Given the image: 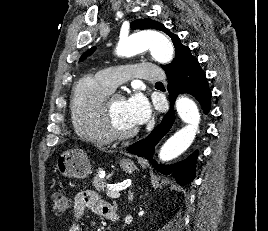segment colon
Instances as JSON below:
<instances>
[{
	"instance_id": "colon-1",
	"label": "colon",
	"mask_w": 268,
	"mask_h": 231,
	"mask_svg": "<svg viewBox=\"0 0 268 231\" xmlns=\"http://www.w3.org/2000/svg\"><path fill=\"white\" fill-rule=\"evenodd\" d=\"M53 210L55 213L66 212L70 208L68 197L62 192H55L52 195Z\"/></svg>"
}]
</instances>
